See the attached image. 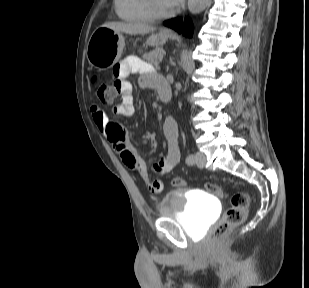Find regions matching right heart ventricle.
<instances>
[{
	"label": "right heart ventricle",
	"mask_w": 309,
	"mask_h": 288,
	"mask_svg": "<svg viewBox=\"0 0 309 288\" xmlns=\"http://www.w3.org/2000/svg\"><path fill=\"white\" fill-rule=\"evenodd\" d=\"M117 15L131 23H149L155 18L151 15L146 0H114Z\"/></svg>",
	"instance_id": "e07e8e85"
}]
</instances>
